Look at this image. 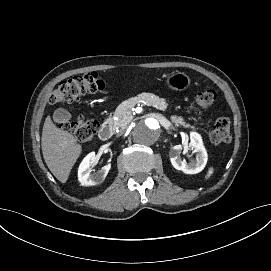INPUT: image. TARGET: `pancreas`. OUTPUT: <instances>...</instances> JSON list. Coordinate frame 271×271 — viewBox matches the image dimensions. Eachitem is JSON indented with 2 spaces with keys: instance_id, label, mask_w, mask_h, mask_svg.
Masks as SVG:
<instances>
[{
  "instance_id": "1",
  "label": "pancreas",
  "mask_w": 271,
  "mask_h": 271,
  "mask_svg": "<svg viewBox=\"0 0 271 271\" xmlns=\"http://www.w3.org/2000/svg\"><path fill=\"white\" fill-rule=\"evenodd\" d=\"M149 105L151 104L152 106L156 107L157 109L160 110H165L167 108V104L165 102V99L159 98L153 94H142L141 96H135L132 100H126L122 102L115 110L114 113V118H117L116 120L113 119L112 122L114 126L118 129H125L128 124L131 122L133 116L131 114V109L135 105ZM171 121L176 125H182L185 128L191 127L190 124H187L184 119L180 116H171Z\"/></svg>"
}]
</instances>
